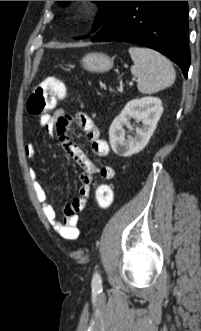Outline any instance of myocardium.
<instances>
[{"instance_id":"myocardium-1","label":"myocardium","mask_w":201,"mask_h":331,"mask_svg":"<svg viewBox=\"0 0 201 331\" xmlns=\"http://www.w3.org/2000/svg\"><path fill=\"white\" fill-rule=\"evenodd\" d=\"M84 8L86 9V10H91V5L90 4H86L85 6H84Z\"/></svg>"}]
</instances>
